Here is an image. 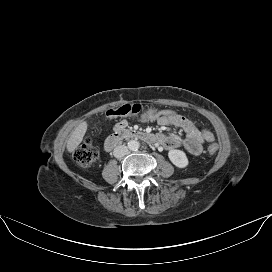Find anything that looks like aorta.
I'll return each instance as SVG.
<instances>
[{
    "label": "aorta",
    "mask_w": 272,
    "mask_h": 272,
    "mask_svg": "<svg viewBox=\"0 0 272 272\" xmlns=\"http://www.w3.org/2000/svg\"><path fill=\"white\" fill-rule=\"evenodd\" d=\"M127 147L129 150L131 151H136L139 149L140 147V143L137 141V140H130L128 143H127Z\"/></svg>",
    "instance_id": "aorta-1"
}]
</instances>
